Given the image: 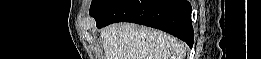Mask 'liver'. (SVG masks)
<instances>
[{"mask_svg":"<svg viewBox=\"0 0 261 59\" xmlns=\"http://www.w3.org/2000/svg\"><path fill=\"white\" fill-rule=\"evenodd\" d=\"M105 59H184L185 45L177 38L144 26L118 23L100 32Z\"/></svg>","mask_w":261,"mask_h":59,"instance_id":"6515ba94","label":"liver"}]
</instances>
